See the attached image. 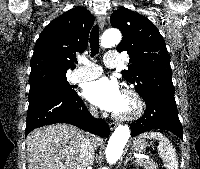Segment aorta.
I'll list each match as a JSON object with an SVG mask.
<instances>
[{"instance_id":"762f6f07","label":"aorta","mask_w":200,"mask_h":169,"mask_svg":"<svg viewBox=\"0 0 200 169\" xmlns=\"http://www.w3.org/2000/svg\"><path fill=\"white\" fill-rule=\"evenodd\" d=\"M121 41V33L116 29L106 31L101 40V44L105 48H109L119 44ZM130 137V128L127 125H119L111 135L106 147L105 155L107 162L115 164L121 157L123 149ZM104 169H108L105 167Z\"/></svg>"}]
</instances>
